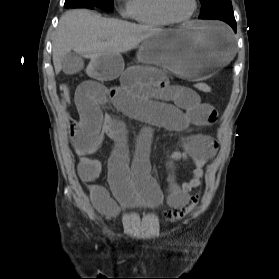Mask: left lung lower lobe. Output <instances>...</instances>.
Segmentation results:
<instances>
[{
	"instance_id": "0a47b994",
	"label": "left lung lower lobe",
	"mask_w": 279,
	"mask_h": 279,
	"mask_svg": "<svg viewBox=\"0 0 279 279\" xmlns=\"http://www.w3.org/2000/svg\"><path fill=\"white\" fill-rule=\"evenodd\" d=\"M219 20H222V21L226 22L227 24H229L233 28V30L236 32V21H235L234 15L220 17Z\"/></svg>"
}]
</instances>
